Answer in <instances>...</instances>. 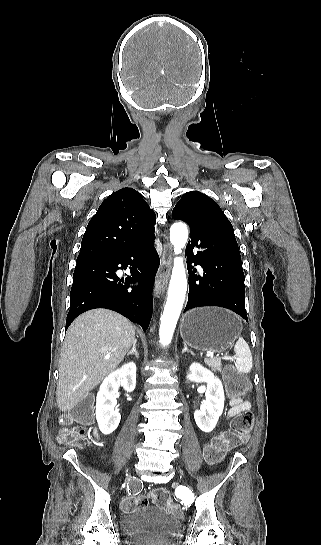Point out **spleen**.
Listing matches in <instances>:
<instances>
[{
	"label": "spleen",
	"instance_id": "obj_1",
	"mask_svg": "<svg viewBox=\"0 0 321 545\" xmlns=\"http://www.w3.org/2000/svg\"><path fill=\"white\" fill-rule=\"evenodd\" d=\"M234 351L237 357V361L235 363L237 373H250L253 367L252 355L243 337H239L238 341H236Z\"/></svg>",
	"mask_w": 321,
	"mask_h": 545
}]
</instances>
